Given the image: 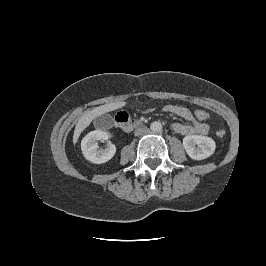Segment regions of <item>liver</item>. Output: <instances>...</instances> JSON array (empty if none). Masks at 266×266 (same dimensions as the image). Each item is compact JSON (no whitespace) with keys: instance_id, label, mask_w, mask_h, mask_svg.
Segmentation results:
<instances>
[{"instance_id":"liver-1","label":"liver","mask_w":266,"mask_h":266,"mask_svg":"<svg viewBox=\"0 0 266 266\" xmlns=\"http://www.w3.org/2000/svg\"><path fill=\"white\" fill-rule=\"evenodd\" d=\"M126 104H127L126 102L117 101V102H112V103H108L105 105L95 107L94 109L85 112L76 124L74 135H73V143L75 144L78 141L79 136L82 133V131L90 125L93 119L107 112L122 108Z\"/></svg>"}]
</instances>
